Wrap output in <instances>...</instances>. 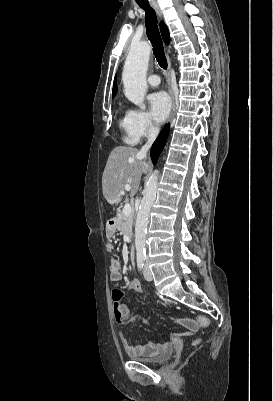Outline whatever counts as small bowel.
I'll return each mask as SVG.
<instances>
[{
    "mask_svg": "<svg viewBox=\"0 0 273 401\" xmlns=\"http://www.w3.org/2000/svg\"><path fill=\"white\" fill-rule=\"evenodd\" d=\"M109 279L112 282H117L121 279V261L117 258H113L110 262ZM120 309L123 311L125 319H126L124 324L132 323V322H136V321L146 323L144 320H141L140 318L135 317L125 304L121 303ZM179 321H185V319H180ZM179 336H180L179 332H177V331L171 332L172 338H177ZM181 336L185 337V338H190L191 332L190 331L182 332ZM122 344H123V347L133 357L153 356V355L158 354L161 350L166 349L168 347L167 342L159 343V344L148 343L145 345H138V346L131 345L124 335H122Z\"/></svg>",
    "mask_w": 273,
    "mask_h": 401,
    "instance_id": "small-bowel-1",
    "label": "small bowel"
}]
</instances>
